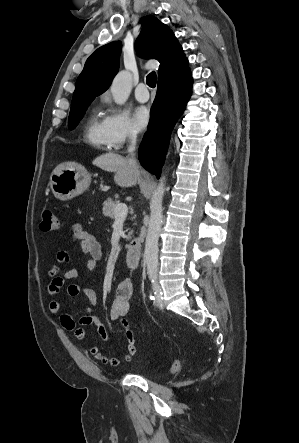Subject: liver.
<instances>
[{
  "label": "liver",
  "instance_id": "liver-1",
  "mask_svg": "<svg viewBox=\"0 0 299 443\" xmlns=\"http://www.w3.org/2000/svg\"><path fill=\"white\" fill-rule=\"evenodd\" d=\"M92 163L104 171L114 172V182L120 187H132L141 180L142 172L129 157L108 152L96 157Z\"/></svg>",
  "mask_w": 299,
  "mask_h": 443
}]
</instances>
